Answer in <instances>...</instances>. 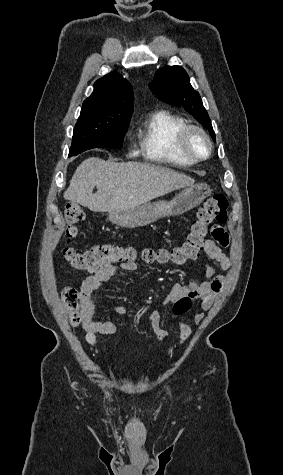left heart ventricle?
I'll return each mask as SVG.
<instances>
[{"label":"left heart ventricle","mask_w":283,"mask_h":475,"mask_svg":"<svg viewBox=\"0 0 283 475\" xmlns=\"http://www.w3.org/2000/svg\"><path fill=\"white\" fill-rule=\"evenodd\" d=\"M188 149L192 154L205 155L207 152V144L199 134L192 133L189 137ZM167 151L172 155L177 153V150L174 146H169Z\"/></svg>","instance_id":"left-heart-ventricle-1"}]
</instances>
